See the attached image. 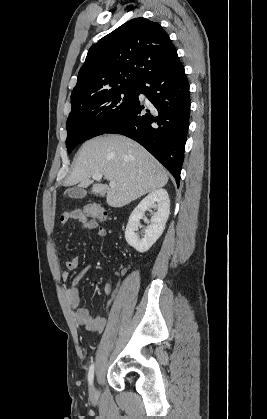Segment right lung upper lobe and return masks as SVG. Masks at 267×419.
Masks as SVG:
<instances>
[{
    "instance_id": "cb5924a9",
    "label": "right lung upper lobe",
    "mask_w": 267,
    "mask_h": 419,
    "mask_svg": "<svg viewBox=\"0 0 267 419\" xmlns=\"http://www.w3.org/2000/svg\"><path fill=\"white\" fill-rule=\"evenodd\" d=\"M178 61L175 46L158 23L132 19L89 49L71 105L97 93L138 87L150 74Z\"/></svg>"
}]
</instances>
